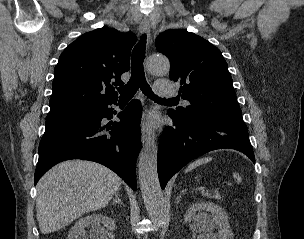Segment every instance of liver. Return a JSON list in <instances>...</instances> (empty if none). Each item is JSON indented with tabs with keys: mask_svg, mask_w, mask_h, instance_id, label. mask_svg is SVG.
I'll return each instance as SVG.
<instances>
[{
	"mask_svg": "<svg viewBox=\"0 0 304 239\" xmlns=\"http://www.w3.org/2000/svg\"><path fill=\"white\" fill-rule=\"evenodd\" d=\"M121 184L119 176L95 162L69 160L57 164L37 184L41 233L58 231L82 214L105 207Z\"/></svg>",
	"mask_w": 304,
	"mask_h": 239,
	"instance_id": "6515ba94",
	"label": "liver"
}]
</instances>
